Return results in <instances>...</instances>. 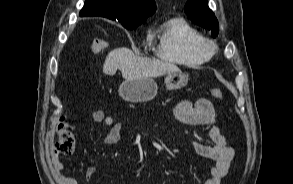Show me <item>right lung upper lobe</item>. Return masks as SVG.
I'll return each instance as SVG.
<instances>
[{
	"mask_svg": "<svg viewBox=\"0 0 293 184\" xmlns=\"http://www.w3.org/2000/svg\"><path fill=\"white\" fill-rule=\"evenodd\" d=\"M155 10V0H86L79 15L105 17L122 24L144 22Z\"/></svg>",
	"mask_w": 293,
	"mask_h": 184,
	"instance_id": "right-lung-upper-lobe-1",
	"label": "right lung upper lobe"
}]
</instances>
